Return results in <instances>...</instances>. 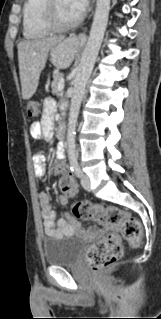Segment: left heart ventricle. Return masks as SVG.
<instances>
[{"mask_svg": "<svg viewBox=\"0 0 161 319\" xmlns=\"http://www.w3.org/2000/svg\"><path fill=\"white\" fill-rule=\"evenodd\" d=\"M57 16L61 23H67L74 20L78 14L72 8L69 0H58Z\"/></svg>", "mask_w": 161, "mask_h": 319, "instance_id": "left-heart-ventricle-1", "label": "left heart ventricle"}]
</instances>
